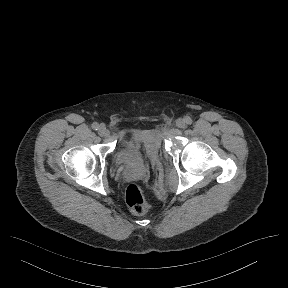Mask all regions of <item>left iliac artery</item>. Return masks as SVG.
<instances>
[{"label":"left iliac artery","instance_id":"left-iliac-artery-1","mask_svg":"<svg viewBox=\"0 0 288 288\" xmlns=\"http://www.w3.org/2000/svg\"><path fill=\"white\" fill-rule=\"evenodd\" d=\"M185 122L190 125V124H192V119L189 116H186Z\"/></svg>","mask_w":288,"mask_h":288}]
</instances>
